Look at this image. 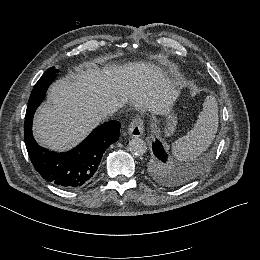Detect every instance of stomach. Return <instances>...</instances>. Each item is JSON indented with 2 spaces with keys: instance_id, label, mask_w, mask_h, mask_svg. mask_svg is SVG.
<instances>
[{
  "instance_id": "stomach-1",
  "label": "stomach",
  "mask_w": 260,
  "mask_h": 260,
  "mask_svg": "<svg viewBox=\"0 0 260 260\" xmlns=\"http://www.w3.org/2000/svg\"><path fill=\"white\" fill-rule=\"evenodd\" d=\"M161 114L169 123V125L165 128L166 133H172L175 130V125L177 123V119L172 112V106L164 107Z\"/></svg>"
}]
</instances>
